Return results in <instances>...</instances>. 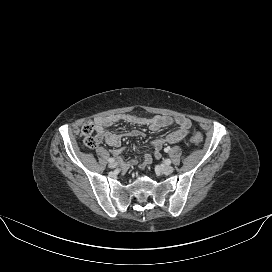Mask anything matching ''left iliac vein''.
<instances>
[{"label":"left iliac vein","instance_id":"obj_1","mask_svg":"<svg viewBox=\"0 0 272 272\" xmlns=\"http://www.w3.org/2000/svg\"><path fill=\"white\" fill-rule=\"evenodd\" d=\"M158 169H159V172H161L162 174H165V175L171 174L174 170V168L169 165L159 166Z\"/></svg>","mask_w":272,"mask_h":272}]
</instances>
